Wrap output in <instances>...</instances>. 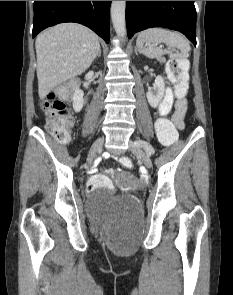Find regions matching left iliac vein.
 I'll use <instances>...</instances> for the list:
<instances>
[{
    "label": "left iliac vein",
    "instance_id": "4c4485c4",
    "mask_svg": "<svg viewBox=\"0 0 233 295\" xmlns=\"http://www.w3.org/2000/svg\"><path fill=\"white\" fill-rule=\"evenodd\" d=\"M136 141H132L131 142V151L137 155L138 157H140L144 163V165L150 169L152 167V161L150 159V156L148 153H146L143 149L144 147H140V145H138Z\"/></svg>",
    "mask_w": 233,
    "mask_h": 295
}]
</instances>
